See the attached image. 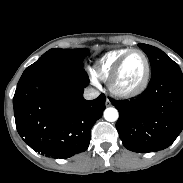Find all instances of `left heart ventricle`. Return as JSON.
Listing matches in <instances>:
<instances>
[{
  "instance_id": "left-heart-ventricle-1",
  "label": "left heart ventricle",
  "mask_w": 183,
  "mask_h": 183,
  "mask_svg": "<svg viewBox=\"0 0 183 183\" xmlns=\"http://www.w3.org/2000/svg\"><path fill=\"white\" fill-rule=\"evenodd\" d=\"M144 60L138 53L130 54L125 60L118 77V85L131 88L137 85L144 74Z\"/></svg>"
}]
</instances>
